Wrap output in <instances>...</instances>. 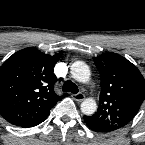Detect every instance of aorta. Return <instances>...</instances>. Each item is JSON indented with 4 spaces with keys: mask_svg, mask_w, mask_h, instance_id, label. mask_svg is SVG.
Here are the masks:
<instances>
[{
    "mask_svg": "<svg viewBox=\"0 0 145 145\" xmlns=\"http://www.w3.org/2000/svg\"><path fill=\"white\" fill-rule=\"evenodd\" d=\"M72 77L81 83H85L90 78V70L86 63L82 61H76L71 65ZM97 104L95 100L88 98L81 103V111L85 115H92L95 113Z\"/></svg>",
    "mask_w": 145,
    "mask_h": 145,
    "instance_id": "1",
    "label": "aorta"
}]
</instances>
